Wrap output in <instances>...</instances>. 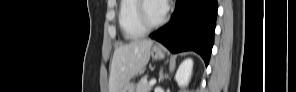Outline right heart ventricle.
<instances>
[{"instance_id": "e07e8e85", "label": "right heart ventricle", "mask_w": 296, "mask_h": 92, "mask_svg": "<svg viewBox=\"0 0 296 92\" xmlns=\"http://www.w3.org/2000/svg\"><path fill=\"white\" fill-rule=\"evenodd\" d=\"M137 0H123L120 2L118 23L126 39H136L145 34V30L136 19Z\"/></svg>"}]
</instances>
